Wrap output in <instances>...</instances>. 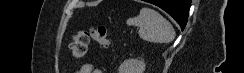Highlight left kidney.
<instances>
[{"label":"left kidney","mask_w":244,"mask_h":73,"mask_svg":"<svg viewBox=\"0 0 244 73\" xmlns=\"http://www.w3.org/2000/svg\"><path fill=\"white\" fill-rule=\"evenodd\" d=\"M145 62L143 59H127L118 69V73H144Z\"/></svg>","instance_id":"1"}]
</instances>
